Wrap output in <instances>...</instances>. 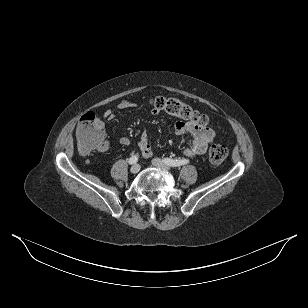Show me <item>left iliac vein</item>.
<instances>
[{
    "label": "left iliac vein",
    "instance_id": "obj_1",
    "mask_svg": "<svg viewBox=\"0 0 308 308\" xmlns=\"http://www.w3.org/2000/svg\"><path fill=\"white\" fill-rule=\"evenodd\" d=\"M152 165L157 167V168H161L163 170L169 171L170 167L169 165H167L165 162H163L161 159L159 158H154L152 160Z\"/></svg>",
    "mask_w": 308,
    "mask_h": 308
}]
</instances>
